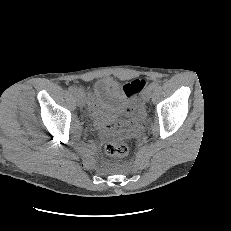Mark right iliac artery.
<instances>
[{
	"instance_id": "right-iliac-artery-1",
	"label": "right iliac artery",
	"mask_w": 231,
	"mask_h": 231,
	"mask_svg": "<svg viewBox=\"0 0 231 231\" xmlns=\"http://www.w3.org/2000/svg\"><path fill=\"white\" fill-rule=\"evenodd\" d=\"M68 91H69L70 93H74V92H75V88L69 87V88H68Z\"/></svg>"
}]
</instances>
